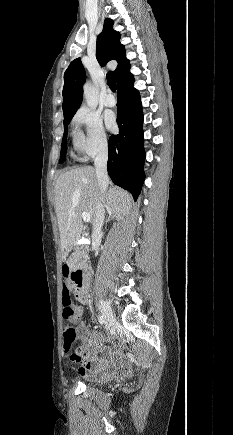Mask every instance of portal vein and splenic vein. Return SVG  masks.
Wrapping results in <instances>:
<instances>
[{"instance_id": "portal-vein-and-splenic-vein-1", "label": "portal vein and splenic vein", "mask_w": 233, "mask_h": 435, "mask_svg": "<svg viewBox=\"0 0 233 435\" xmlns=\"http://www.w3.org/2000/svg\"><path fill=\"white\" fill-rule=\"evenodd\" d=\"M82 219H83L85 222H90V220H91L90 214L87 213V212H83V213H82Z\"/></svg>"}]
</instances>
